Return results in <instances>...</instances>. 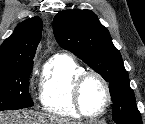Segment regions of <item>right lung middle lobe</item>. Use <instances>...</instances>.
<instances>
[{"instance_id": "right-lung-middle-lobe-1", "label": "right lung middle lobe", "mask_w": 145, "mask_h": 124, "mask_svg": "<svg viewBox=\"0 0 145 124\" xmlns=\"http://www.w3.org/2000/svg\"><path fill=\"white\" fill-rule=\"evenodd\" d=\"M33 62L14 68L0 69V111L33 106L29 77Z\"/></svg>"}]
</instances>
